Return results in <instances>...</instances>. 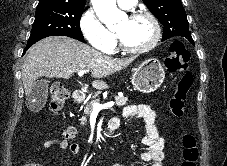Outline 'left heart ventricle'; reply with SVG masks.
<instances>
[{
    "label": "left heart ventricle",
    "instance_id": "1",
    "mask_svg": "<svg viewBox=\"0 0 227 166\" xmlns=\"http://www.w3.org/2000/svg\"><path fill=\"white\" fill-rule=\"evenodd\" d=\"M116 33L122 42L129 47H142L148 44L153 37V26L147 18H122L115 27Z\"/></svg>",
    "mask_w": 227,
    "mask_h": 166
}]
</instances>
